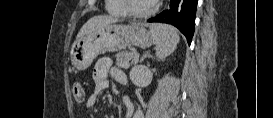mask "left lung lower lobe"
<instances>
[{
  "instance_id": "1",
  "label": "left lung lower lobe",
  "mask_w": 273,
  "mask_h": 118,
  "mask_svg": "<svg viewBox=\"0 0 273 118\" xmlns=\"http://www.w3.org/2000/svg\"><path fill=\"white\" fill-rule=\"evenodd\" d=\"M166 10L150 18L147 22L167 23L177 27L187 38L190 45L195 25L198 0H169Z\"/></svg>"
}]
</instances>
